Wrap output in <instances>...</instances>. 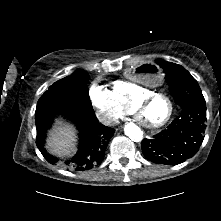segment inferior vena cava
Instances as JSON below:
<instances>
[{"label":"inferior vena cava","mask_w":221,"mask_h":221,"mask_svg":"<svg viewBox=\"0 0 221 221\" xmlns=\"http://www.w3.org/2000/svg\"><path fill=\"white\" fill-rule=\"evenodd\" d=\"M99 121L104 125L116 124L118 121L113 117L112 113H103L98 117Z\"/></svg>","instance_id":"602c4592"}]
</instances>
